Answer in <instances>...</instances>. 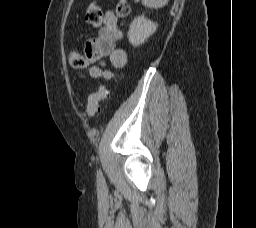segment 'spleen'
Listing matches in <instances>:
<instances>
[{
    "mask_svg": "<svg viewBox=\"0 0 256 228\" xmlns=\"http://www.w3.org/2000/svg\"><path fill=\"white\" fill-rule=\"evenodd\" d=\"M169 0H142V3L145 7L148 8H161L168 3Z\"/></svg>",
    "mask_w": 256,
    "mask_h": 228,
    "instance_id": "spleen-1",
    "label": "spleen"
}]
</instances>
